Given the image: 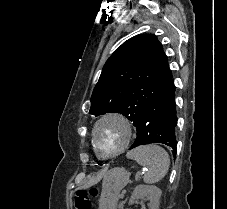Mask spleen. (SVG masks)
<instances>
[{
	"instance_id": "obj_1",
	"label": "spleen",
	"mask_w": 227,
	"mask_h": 209,
	"mask_svg": "<svg viewBox=\"0 0 227 209\" xmlns=\"http://www.w3.org/2000/svg\"><path fill=\"white\" fill-rule=\"evenodd\" d=\"M126 157L148 169L144 175V183H149V185L158 183L168 173L169 155L158 145H141V147L129 151Z\"/></svg>"
}]
</instances>
